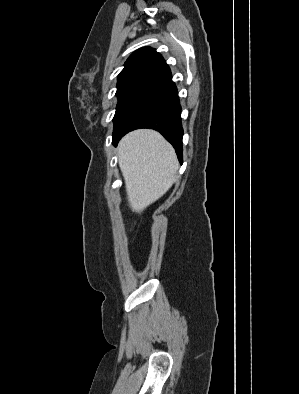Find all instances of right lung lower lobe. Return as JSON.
I'll return each instance as SVG.
<instances>
[{"label":"right lung lower lobe","mask_w":299,"mask_h":394,"mask_svg":"<svg viewBox=\"0 0 299 394\" xmlns=\"http://www.w3.org/2000/svg\"><path fill=\"white\" fill-rule=\"evenodd\" d=\"M181 107L178 92L172 76L169 75L154 86L147 89L125 112L113 131L112 143L118 141L126 133L150 128L159 131L169 141L182 163Z\"/></svg>","instance_id":"1"}]
</instances>
